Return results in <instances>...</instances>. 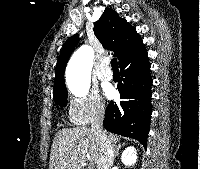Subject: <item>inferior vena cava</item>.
I'll use <instances>...</instances> for the list:
<instances>
[{
    "label": "inferior vena cava",
    "instance_id": "obj_1",
    "mask_svg": "<svg viewBox=\"0 0 200 169\" xmlns=\"http://www.w3.org/2000/svg\"><path fill=\"white\" fill-rule=\"evenodd\" d=\"M104 111L103 106L98 109L94 122L91 125L92 131L99 139L101 148V156L97 162V169H111L114 162V148L103 129Z\"/></svg>",
    "mask_w": 200,
    "mask_h": 169
}]
</instances>
